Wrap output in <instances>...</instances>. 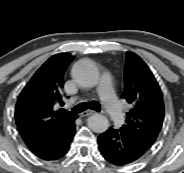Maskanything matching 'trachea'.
Returning a JSON list of instances; mask_svg holds the SVG:
<instances>
[{
    "label": "trachea",
    "mask_w": 184,
    "mask_h": 173,
    "mask_svg": "<svg viewBox=\"0 0 184 173\" xmlns=\"http://www.w3.org/2000/svg\"><path fill=\"white\" fill-rule=\"evenodd\" d=\"M87 109H92L97 112L101 111V105L97 101H90V102H82L78 105H76L70 112L64 111L67 114L75 115L78 113H81Z\"/></svg>",
    "instance_id": "3493384b"
}]
</instances>
